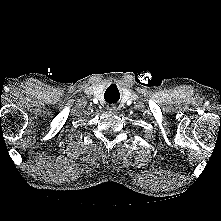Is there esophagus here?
<instances>
[{
    "instance_id": "obj_1",
    "label": "esophagus",
    "mask_w": 221,
    "mask_h": 221,
    "mask_svg": "<svg viewBox=\"0 0 221 221\" xmlns=\"http://www.w3.org/2000/svg\"><path fill=\"white\" fill-rule=\"evenodd\" d=\"M109 110L114 111V110H116V108H115L114 106H111V107L109 108Z\"/></svg>"
}]
</instances>
